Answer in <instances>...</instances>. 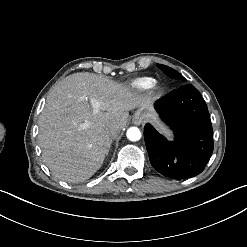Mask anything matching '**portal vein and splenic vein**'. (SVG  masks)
Listing matches in <instances>:
<instances>
[{"instance_id": "portal-vein-and-splenic-vein-1", "label": "portal vein and splenic vein", "mask_w": 247, "mask_h": 247, "mask_svg": "<svg viewBox=\"0 0 247 247\" xmlns=\"http://www.w3.org/2000/svg\"><path fill=\"white\" fill-rule=\"evenodd\" d=\"M90 103H91V106H92L93 114L99 113L100 107H101V103L98 100H96L95 98H91L90 99ZM83 127L86 128L87 127V123L83 124Z\"/></svg>"}]
</instances>
